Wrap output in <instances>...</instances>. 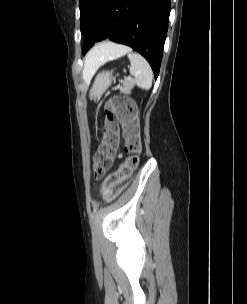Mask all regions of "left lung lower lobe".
<instances>
[{
    "label": "left lung lower lobe",
    "mask_w": 247,
    "mask_h": 304,
    "mask_svg": "<svg viewBox=\"0 0 247 304\" xmlns=\"http://www.w3.org/2000/svg\"><path fill=\"white\" fill-rule=\"evenodd\" d=\"M170 8V0H105L98 18L81 32L83 54L95 42L109 38L142 54L157 78Z\"/></svg>",
    "instance_id": "0a47b994"
}]
</instances>
